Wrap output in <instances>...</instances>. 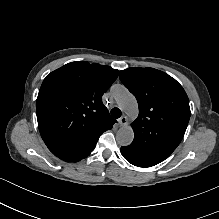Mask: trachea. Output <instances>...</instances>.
<instances>
[{
	"mask_svg": "<svg viewBox=\"0 0 219 219\" xmlns=\"http://www.w3.org/2000/svg\"><path fill=\"white\" fill-rule=\"evenodd\" d=\"M111 116L113 118H119L121 116V110L119 108H117V107L113 108L111 110Z\"/></svg>",
	"mask_w": 219,
	"mask_h": 219,
	"instance_id": "trachea-1",
	"label": "trachea"
}]
</instances>
